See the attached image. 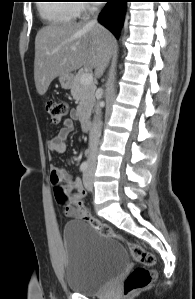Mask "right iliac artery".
<instances>
[{
	"mask_svg": "<svg viewBox=\"0 0 195 299\" xmlns=\"http://www.w3.org/2000/svg\"><path fill=\"white\" fill-rule=\"evenodd\" d=\"M88 165L89 164L87 161L82 162V164L80 165V171L84 173L88 169Z\"/></svg>",
	"mask_w": 195,
	"mask_h": 299,
	"instance_id": "obj_1",
	"label": "right iliac artery"
}]
</instances>
